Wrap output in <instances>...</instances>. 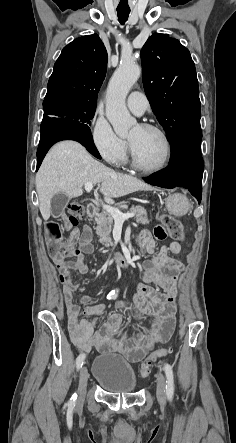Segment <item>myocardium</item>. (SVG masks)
Returning a JSON list of instances; mask_svg holds the SVG:
<instances>
[{"instance_id":"myocardium-1","label":"myocardium","mask_w":236,"mask_h":443,"mask_svg":"<svg viewBox=\"0 0 236 443\" xmlns=\"http://www.w3.org/2000/svg\"><path fill=\"white\" fill-rule=\"evenodd\" d=\"M140 127L146 130H151V131H155L158 134H160V136L163 138L164 142H165V146H166V156L164 161L162 162L161 165L155 167V168H148L143 166L136 155V152L133 148V145L131 144V142L128 140V144H129V150H130V155H131V164L132 166L139 172H142L144 174H156L159 173L161 171H163L164 169L167 168V166L170 164V161L172 159V155H173V146H172V142L168 136V134L166 133V131L161 128L158 125L152 124V123H141Z\"/></svg>"}]
</instances>
